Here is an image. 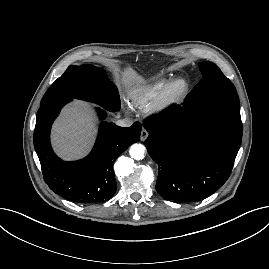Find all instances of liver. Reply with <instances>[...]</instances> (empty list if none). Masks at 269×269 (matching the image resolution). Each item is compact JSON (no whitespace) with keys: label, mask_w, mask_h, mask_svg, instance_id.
Instances as JSON below:
<instances>
[{"label":"liver","mask_w":269,"mask_h":269,"mask_svg":"<svg viewBox=\"0 0 269 269\" xmlns=\"http://www.w3.org/2000/svg\"><path fill=\"white\" fill-rule=\"evenodd\" d=\"M125 86H140L144 84L131 67L123 72ZM97 131V122L92 111L84 102L76 101L66 106L61 116L53 125L52 143L59 156L66 160L83 157L90 150Z\"/></svg>","instance_id":"liver-1"}]
</instances>
